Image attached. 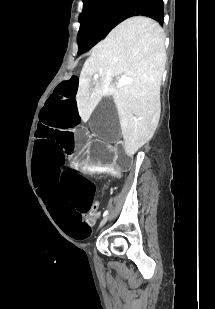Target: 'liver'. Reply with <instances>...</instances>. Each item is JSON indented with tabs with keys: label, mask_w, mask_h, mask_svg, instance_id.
<instances>
[{
	"label": "liver",
	"mask_w": 215,
	"mask_h": 309,
	"mask_svg": "<svg viewBox=\"0 0 215 309\" xmlns=\"http://www.w3.org/2000/svg\"><path fill=\"white\" fill-rule=\"evenodd\" d=\"M164 40L159 22L148 16H131L93 46L81 70L76 100L82 120L87 122L102 96L112 94L128 157L150 140L160 118ZM95 72L101 82L92 86ZM114 76H126V84L114 86Z\"/></svg>",
	"instance_id": "6515ba94"
}]
</instances>
